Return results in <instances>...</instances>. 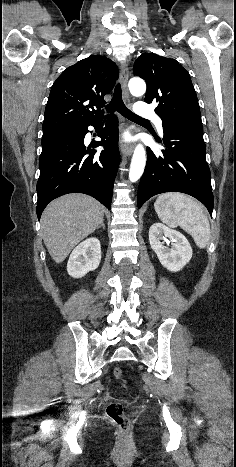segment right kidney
Listing matches in <instances>:
<instances>
[{
    "label": "right kidney",
    "mask_w": 236,
    "mask_h": 467,
    "mask_svg": "<svg viewBox=\"0 0 236 467\" xmlns=\"http://www.w3.org/2000/svg\"><path fill=\"white\" fill-rule=\"evenodd\" d=\"M100 261V241L94 237L88 238L72 251L67 264V272L74 278H81L89 271L97 269Z\"/></svg>",
    "instance_id": "ca27d5eb"
}]
</instances>
